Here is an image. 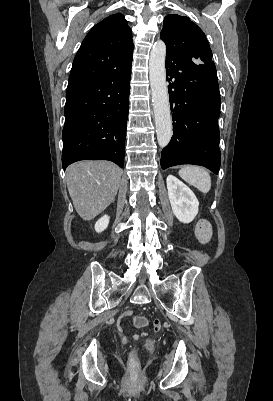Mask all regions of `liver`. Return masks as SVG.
<instances>
[{
  "label": "liver",
  "instance_id": "obj_1",
  "mask_svg": "<svg viewBox=\"0 0 273 401\" xmlns=\"http://www.w3.org/2000/svg\"><path fill=\"white\" fill-rule=\"evenodd\" d=\"M122 172L108 160H82L68 166L67 188L81 219L91 221L113 203Z\"/></svg>",
  "mask_w": 273,
  "mask_h": 401
}]
</instances>
